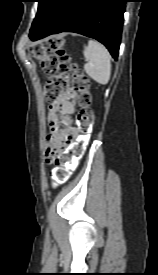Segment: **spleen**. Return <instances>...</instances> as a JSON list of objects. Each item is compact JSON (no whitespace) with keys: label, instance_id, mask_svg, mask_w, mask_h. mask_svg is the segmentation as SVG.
I'll return each instance as SVG.
<instances>
[{"label":"spleen","instance_id":"obj_1","mask_svg":"<svg viewBox=\"0 0 158 275\" xmlns=\"http://www.w3.org/2000/svg\"><path fill=\"white\" fill-rule=\"evenodd\" d=\"M83 54L87 60L84 70L89 77L99 84H107L111 76V56L106 47L97 41L89 40Z\"/></svg>","mask_w":158,"mask_h":275}]
</instances>
